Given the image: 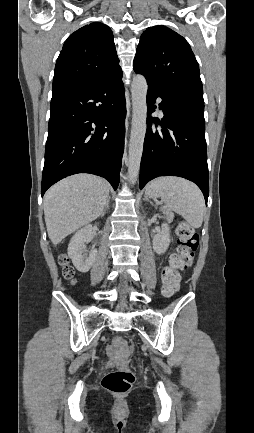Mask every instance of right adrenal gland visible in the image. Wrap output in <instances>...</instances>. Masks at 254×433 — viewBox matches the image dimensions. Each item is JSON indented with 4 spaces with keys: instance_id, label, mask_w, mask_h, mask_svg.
<instances>
[{
    "instance_id": "2a0ac1e0",
    "label": "right adrenal gland",
    "mask_w": 254,
    "mask_h": 433,
    "mask_svg": "<svg viewBox=\"0 0 254 433\" xmlns=\"http://www.w3.org/2000/svg\"><path fill=\"white\" fill-rule=\"evenodd\" d=\"M109 204H110V196L108 197L107 202H106V204H105V206L101 212L102 216H104V214L106 213V210L109 209Z\"/></svg>"
}]
</instances>
